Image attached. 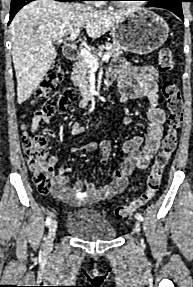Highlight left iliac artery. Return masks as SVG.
Masks as SVG:
<instances>
[{"label":"left iliac artery","instance_id":"44dca946","mask_svg":"<svg viewBox=\"0 0 193 287\" xmlns=\"http://www.w3.org/2000/svg\"><path fill=\"white\" fill-rule=\"evenodd\" d=\"M135 217H136L138 220L143 221V216H142L141 213H137V214L135 215Z\"/></svg>","mask_w":193,"mask_h":287}]
</instances>
